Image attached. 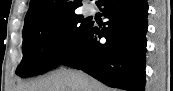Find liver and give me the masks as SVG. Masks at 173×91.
I'll list each match as a JSON object with an SVG mask.
<instances>
[{"label": "liver", "mask_w": 173, "mask_h": 91, "mask_svg": "<svg viewBox=\"0 0 173 91\" xmlns=\"http://www.w3.org/2000/svg\"><path fill=\"white\" fill-rule=\"evenodd\" d=\"M16 91H112L82 71L59 69L48 76L20 83Z\"/></svg>", "instance_id": "1"}]
</instances>
